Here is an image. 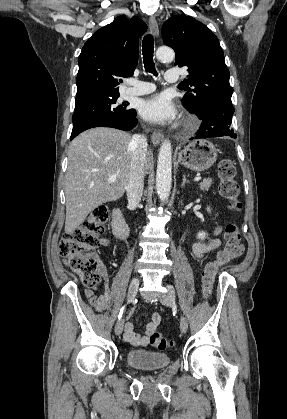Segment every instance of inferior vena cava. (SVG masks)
<instances>
[{
	"label": "inferior vena cava",
	"mask_w": 287,
	"mask_h": 419,
	"mask_svg": "<svg viewBox=\"0 0 287 419\" xmlns=\"http://www.w3.org/2000/svg\"><path fill=\"white\" fill-rule=\"evenodd\" d=\"M132 158L129 179L126 186L128 204L135 209L140 203L144 188L145 158L147 153V138L145 135L135 134L130 141Z\"/></svg>",
	"instance_id": "obj_1"
}]
</instances>
